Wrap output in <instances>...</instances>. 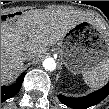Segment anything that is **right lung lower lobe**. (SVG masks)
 <instances>
[{"label":"right lung lower lobe","mask_w":109,"mask_h":109,"mask_svg":"<svg viewBox=\"0 0 109 109\" xmlns=\"http://www.w3.org/2000/svg\"><path fill=\"white\" fill-rule=\"evenodd\" d=\"M24 76L25 73H23L14 84L1 87V102L13 97L18 93L21 88Z\"/></svg>","instance_id":"1"}]
</instances>
